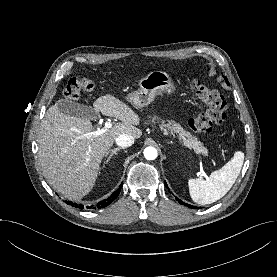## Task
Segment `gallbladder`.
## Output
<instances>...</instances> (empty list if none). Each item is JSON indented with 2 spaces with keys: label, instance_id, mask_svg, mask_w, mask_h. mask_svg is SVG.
Here are the masks:
<instances>
[{
  "label": "gallbladder",
  "instance_id": "gallbladder-1",
  "mask_svg": "<svg viewBox=\"0 0 277 277\" xmlns=\"http://www.w3.org/2000/svg\"><path fill=\"white\" fill-rule=\"evenodd\" d=\"M56 105L60 112L69 116L83 119H96L98 117V113L91 106L80 104L69 99H60Z\"/></svg>",
  "mask_w": 277,
  "mask_h": 277
}]
</instances>
